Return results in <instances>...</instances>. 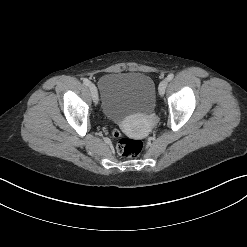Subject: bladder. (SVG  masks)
Instances as JSON below:
<instances>
[{
    "instance_id": "31cf9c89",
    "label": "bladder",
    "mask_w": 247,
    "mask_h": 247,
    "mask_svg": "<svg viewBox=\"0 0 247 247\" xmlns=\"http://www.w3.org/2000/svg\"><path fill=\"white\" fill-rule=\"evenodd\" d=\"M104 116L120 124L129 115L148 114L155 106L153 80L141 73H113L100 78L98 90Z\"/></svg>"
}]
</instances>
